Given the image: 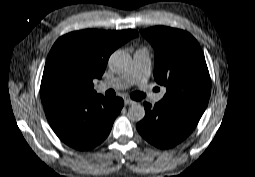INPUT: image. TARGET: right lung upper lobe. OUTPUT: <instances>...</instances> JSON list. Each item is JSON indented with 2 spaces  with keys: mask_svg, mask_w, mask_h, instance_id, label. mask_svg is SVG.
<instances>
[{
  "mask_svg": "<svg viewBox=\"0 0 255 177\" xmlns=\"http://www.w3.org/2000/svg\"><path fill=\"white\" fill-rule=\"evenodd\" d=\"M138 36L135 30H82L60 37L53 45L46 61L41 82L43 104L49 86L65 78L75 81L78 98L96 93L92 80L101 78L111 53Z\"/></svg>",
  "mask_w": 255,
  "mask_h": 177,
  "instance_id": "obj_1",
  "label": "right lung upper lobe"
}]
</instances>
